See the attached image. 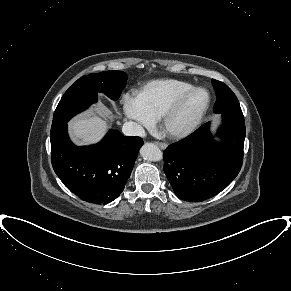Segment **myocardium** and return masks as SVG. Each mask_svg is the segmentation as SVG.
<instances>
[{
    "label": "myocardium",
    "instance_id": "f54148a6",
    "mask_svg": "<svg viewBox=\"0 0 291 291\" xmlns=\"http://www.w3.org/2000/svg\"><path fill=\"white\" fill-rule=\"evenodd\" d=\"M196 91H204L206 93L207 99L203 108L200 110L197 116L192 120V122L189 123L186 127L181 128V129L171 128L170 123L174 115L178 112V110L181 108L184 102L188 99V97L191 96ZM210 104H211V95H210V92L205 87L193 86L189 88L188 90L182 92L168 105V107L163 111V113L161 114L159 118L160 129L162 133L166 137L171 138V139H182L189 136L199 127V125L203 121L206 113L209 110Z\"/></svg>",
    "mask_w": 291,
    "mask_h": 291
}]
</instances>
